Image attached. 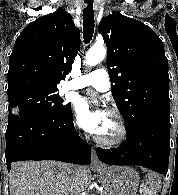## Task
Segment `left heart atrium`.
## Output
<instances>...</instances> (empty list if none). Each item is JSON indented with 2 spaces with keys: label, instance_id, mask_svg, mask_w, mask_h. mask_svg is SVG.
Wrapping results in <instances>:
<instances>
[{
  "label": "left heart atrium",
  "instance_id": "left-heart-atrium-1",
  "mask_svg": "<svg viewBox=\"0 0 178 195\" xmlns=\"http://www.w3.org/2000/svg\"><path fill=\"white\" fill-rule=\"evenodd\" d=\"M75 109L81 126L94 134H98L102 128L107 113L100 108H93L89 101L79 98L75 103Z\"/></svg>",
  "mask_w": 178,
  "mask_h": 195
}]
</instances>
